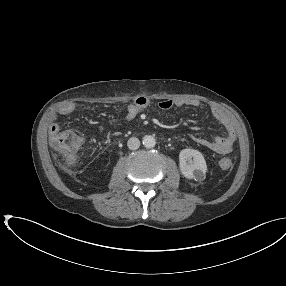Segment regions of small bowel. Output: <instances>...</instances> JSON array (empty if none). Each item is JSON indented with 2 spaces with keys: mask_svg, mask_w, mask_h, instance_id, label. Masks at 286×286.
Masks as SVG:
<instances>
[{
  "mask_svg": "<svg viewBox=\"0 0 286 286\" xmlns=\"http://www.w3.org/2000/svg\"><path fill=\"white\" fill-rule=\"evenodd\" d=\"M200 103L197 100H171L166 99L162 100L158 103V107L161 110L167 111L173 108H181L183 106H191V107H198ZM151 106V101L146 97H137L134 99L132 103L127 106L126 110V120L131 121L135 119L142 111L148 109ZM76 110V105L73 103H67L59 108L57 113L55 114L51 124H50V135H54L55 133L59 132L60 125L56 121L57 116H69ZM212 116L222 124L226 129V135L223 137L215 138L212 140L205 139L202 137H198L192 135L191 138L194 142L198 145L209 149L213 152L218 154H228L232 152L236 143V131L233 125L232 119L229 114L220 107L212 106L211 109Z\"/></svg>",
  "mask_w": 286,
  "mask_h": 286,
  "instance_id": "c3829d8e",
  "label": "small bowel"
}]
</instances>
